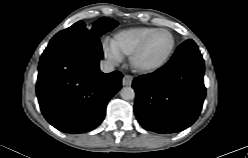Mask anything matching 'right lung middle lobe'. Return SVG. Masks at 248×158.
<instances>
[{
	"label": "right lung middle lobe",
	"mask_w": 248,
	"mask_h": 158,
	"mask_svg": "<svg viewBox=\"0 0 248 158\" xmlns=\"http://www.w3.org/2000/svg\"><path fill=\"white\" fill-rule=\"evenodd\" d=\"M118 25V22L111 19L102 17L93 23L91 29H87L83 21H79L69 28L58 32L56 35H82L87 34L90 36L100 37L108 31H111Z\"/></svg>",
	"instance_id": "1"
}]
</instances>
